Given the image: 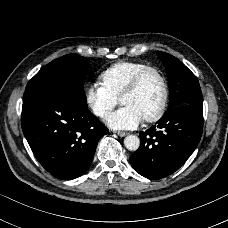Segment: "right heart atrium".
<instances>
[{"mask_svg":"<svg viewBox=\"0 0 228 228\" xmlns=\"http://www.w3.org/2000/svg\"><path fill=\"white\" fill-rule=\"evenodd\" d=\"M85 100L90 110L99 118H104L119 102L97 81L90 83L86 87Z\"/></svg>","mask_w":228,"mask_h":228,"instance_id":"obj_1","label":"right heart atrium"}]
</instances>
